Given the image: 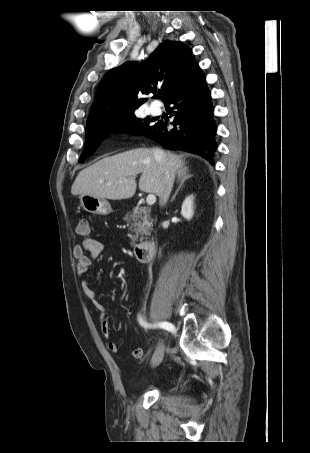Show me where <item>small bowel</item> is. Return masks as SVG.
I'll use <instances>...</instances> for the list:
<instances>
[{"instance_id":"c3829d8e","label":"small bowel","mask_w":310,"mask_h":453,"mask_svg":"<svg viewBox=\"0 0 310 453\" xmlns=\"http://www.w3.org/2000/svg\"><path fill=\"white\" fill-rule=\"evenodd\" d=\"M103 251V244L95 238H85L81 244H77L73 248V256L77 260V273L84 275L90 269L93 259L97 258ZM87 253V254H86ZM81 288L85 296L93 303L96 311L99 314L101 332L105 338L110 336V321L105 313V307L97 299L96 291L89 285L86 279L82 280ZM108 350L113 354H118L119 348L114 341L107 342ZM144 355L142 348H136L133 351L135 359H141Z\"/></svg>"}]
</instances>
